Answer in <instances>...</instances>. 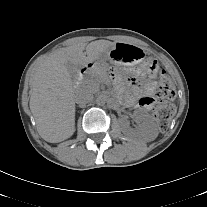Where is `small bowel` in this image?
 <instances>
[{"instance_id":"1","label":"small bowel","mask_w":207,"mask_h":207,"mask_svg":"<svg viewBox=\"0 0 207 207\" xmlns=\"http://www.w3.org/2000/svg\"><path fill=\"white\" fill-rule=\"evenodd\" d=\"M154 72L155 70L150 69L148 66L138 71V73L142 76H153ZM128 80L133 93L124 96L125 104L128 106H138L144 110L151 109L154 105V83L152 81H147L142 85L134 76H130ZM118 83L121 84V80L119 78Z\"/></svg>"}]
</instances>
